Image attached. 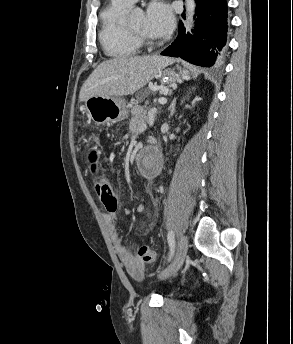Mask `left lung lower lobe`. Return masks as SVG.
I'll return each mask as SVG.
<instances>
[{
    "instance_id": "1",
    "label": "left lung lower lobe",
    "mask_w": 293,
    "mask_h": 344,
    "mask_svg": "<svg viewBox=\"0 0 293 344\" xmlns=\"http://www.w3.org/2000/svg\"><path fill=\"white\" fill-rule=\"evenodd\" d=\"M196 27L193 35L179 22L176 40L161 55L181 57L202 67H211L221 60L227 41L226 0H195Z\"/></svg>"
}]
</instances>
